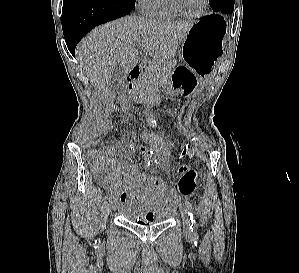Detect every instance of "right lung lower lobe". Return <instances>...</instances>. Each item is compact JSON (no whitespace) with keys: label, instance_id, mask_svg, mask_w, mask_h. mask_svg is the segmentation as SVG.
<instances>
[{"label":"right lung lower lobe","instance_id":"right-lung-lower-lobe-1","mask_svg":"<svg viewBox=\"0 0 299 273\" xmlns=\"http://www.w3.org/2000/svg\"><path fill=\"white\" fill-rule=\"evenodd\" d=\"M135 0H63L62 28L67 47H75L95 26L128 14Z\"/></svg>","mask_w":299,"mask_h":273}]
</instances>
